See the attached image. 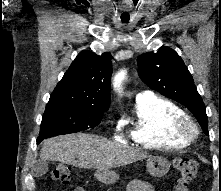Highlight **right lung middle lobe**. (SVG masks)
I'll return each instance as SVG.
<instances>
[{
	"label": "right lung middle lobe",
	"instance_id": "right-lung-middle-lobe-1",
	"mask_svg": "<svg viewBox=\"0 0 221 191\" xmlns=\"http://www.w3.org/2000/svg\"><path fill=\"white\" fill-rule=\"evenodd\" d=\"M105 111L82 105L46 106L38 140L94 128L100 124Z\"/></svg>",
	"mask_w": 221,
	"mask_h": 191
}]
</instances>
